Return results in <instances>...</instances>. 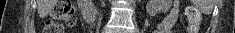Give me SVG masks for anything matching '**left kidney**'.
Segmentation results:
<instances>
[{
  "mask_svg": "<svg viewBox=\"0 0 235 33\" xmlns=\"http://www.w3.org/2000/svg\"><path fill=\"white\" fill-rule=\"evenodd\" d=\"M171 0H148L146 11L149 16H156L158 13L168 12L171 7Z\"/></svg>",
  "mask_w": 235,
  "mask_h": 33,
  "instance_id": "left-kidney-1",
  "label": "left kidney"
}]
</instances>
